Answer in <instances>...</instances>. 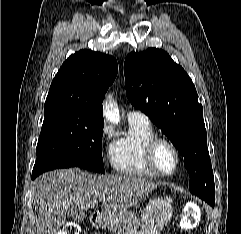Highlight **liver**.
<instances>
[{
    "mask_svg": "<svg viewBox=\"0 0 241 234\" xmlns=\"http://www.w3.org/2000/svg\"><path fill=\"white\" fill-rule=\"evenodd\" d=\"M156 188L153 181L133 174L93 175L78 168L42 174L31 189L38 215L34 234H60L68 215L73 218L74 211L95 208L98 199L105 214L115 216Z\"/></svg>",
    "mask_w": 241,
    "mask_h": 234,
    "instance_id": "obj_1",
    "label": "liver"
}]
</instances>
